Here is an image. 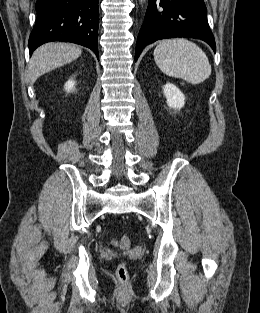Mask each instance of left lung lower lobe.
<instances>
[{
  "label": "left lung lower lobe",
  "mask_w": 260,
  "mask_h": 313,
  "mask_svg": "<svg viewBox=\"0 0 260 313\" xmlns=\"http://www.w3.org/2000/svg\"><path fill=\"white\" fill-rule=\"evenodd\" d=\"M174 37L201 39L215 52V40L207 22L203 0H149L137 39L135 61L148 44Z\"/></svg>",
  "instance_id": "1"
}]
</instances>
